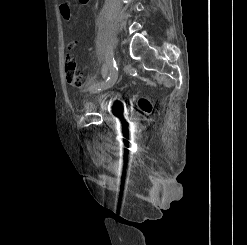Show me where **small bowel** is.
Here are the masks:
<instances>
[{"label": "small bowel", "mask_w": 247, "mask_h": 245, "mask_svg": "<svg viewBox=\"0 0 247 245\" xmlns=\"http://www.w3.org/2000/svg\"><path fill=\"white\" fill-rule=\"evenodd\" d=\"M81 4H87L89 0H79ZM60 12L64 19L69 20L71 18L70 5L63 3L60 5Z\"/></svg>", "instance_id": "c3829d8e"}]
</instances>
